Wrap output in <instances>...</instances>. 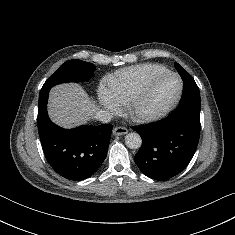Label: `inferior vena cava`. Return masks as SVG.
I'll list each match as a JSON object with an SVG mask.
<instances>
[{
	"mask_svg": "<svg viewBox=\"0 0 235 235\" xmlns=\"http://www.w3.org/2000/svg\"><path fill=\"white\" fill-rule=\"evenodd\" d=\"M95 118L103 123H108L112 119V114L106 110H99L95 113Z\"/></svg>",
	"mask_w": 235,
	"mask_h": 235,
	"instance_id": "1",
	"label": "inferior vena cava"
}]
</instances>
